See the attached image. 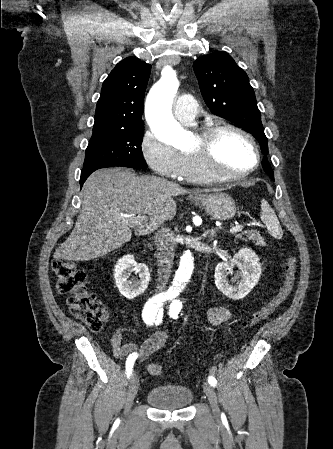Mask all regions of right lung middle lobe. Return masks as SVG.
<instances>
[{"label": "right lung middle lobe", "mask_w": 333, "mask_h": 449, "mask_svg": "<svg viewBox=\"0 0 333 449\" xmlns=\"http://www.w3.org/2000/svg\"><path fill=\"white\" fill-rule=\"evenodd\" d=\"M143 127L132 130H96L86 149L83 170L124 166L147 168L141 143Z\"/></svg>", "instance_id": "obj_1"}]
</instances>
